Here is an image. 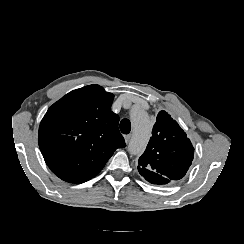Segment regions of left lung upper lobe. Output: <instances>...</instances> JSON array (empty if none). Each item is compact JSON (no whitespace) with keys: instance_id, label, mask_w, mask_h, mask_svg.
I'll use <instances>...</instances> for the list:
<instances>
[{"instance_id":"obj_1","label":"left lung upper lobe","mask_w":244,"mask_h":244,"mask_svg":"<svg viewBox=\"0 0 244 244\" xmlns=\"http://www.w3.org/2000/svg\"><path fill=\"white\" fill-rule=\"evenodd\" d=\"M193 155L186 133L167 112L160 111L148 146L139 158L138 171L152 184H168L185 176Z\"/></svg>"}]
</instances>
